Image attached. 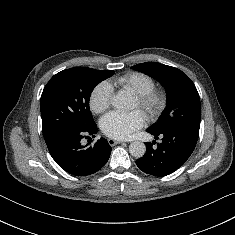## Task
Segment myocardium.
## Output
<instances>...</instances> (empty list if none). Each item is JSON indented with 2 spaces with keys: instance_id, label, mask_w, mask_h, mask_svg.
<instances>
[{
  "instance_id": "f54148a6",
  "label": "myocardium",
  "mask_w": 235,
  "mask_h": 235,
  "mask_svg": "<svg viewBox=\"0 0 235 235\" xmlns=\"http://www.w3.org/2000/svg\"><path fill=\"white\" fill-rule=\"evenodd\" d=\"M136 99L150 119L159 118L168 106V97L164 91L153 89L143 94H137Z\"/></svg>"
}]
</instances>
